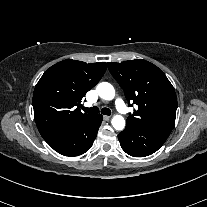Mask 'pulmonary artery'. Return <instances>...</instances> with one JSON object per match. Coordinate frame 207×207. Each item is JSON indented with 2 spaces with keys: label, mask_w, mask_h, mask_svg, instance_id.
I'll return each mask as SVG.
<instances>
[{
  "label": "pulmonary artery",
  "mask_w": 207,
  "mask_h": 207,
  "mask_svg": "<svg viewBox=\"0 0 207 207\" xmlns=\"http://www.w3.org/2000/svg\"><path fill=\"white\" fill-rule=\"evenodd\" d=\"M115 105H116V108L119 110V111H122L124 108H125V105L124 103L121 101V99L119 98H116L115 99Z\"/></svg>",
  "instance_id": "pulmonary-artery-1"
}]
</instances>
